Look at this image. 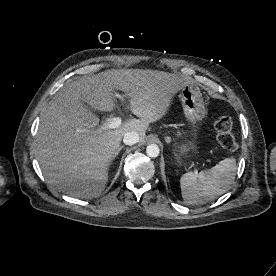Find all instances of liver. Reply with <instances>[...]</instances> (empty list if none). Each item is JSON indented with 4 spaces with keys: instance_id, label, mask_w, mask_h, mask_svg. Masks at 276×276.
Instances as JSON below:
<instances>
[{
    "instance_id": "obj_1",
    "label": "liver",
    "mask_w": 276,
    "mask_h": 276,
    "mask_svg": "<svg viewBox=\"0 0 276 276\" xmlns=\"http://www.w3.org/2000/svg\"><path fill=\"white\" fill-rule=\"evenodd\" d=\"M188 84L178 75L158 70L121 69L82 77L62 87L44 109L36 137V157L47 182L70 196L96 198L105 189L108 170L125 133L146 137L150 123L160 120L174 95ZM130 98L139 119L93 133L99 118L92 109H114V91Z\"/></svg>"
}]
</instances>
